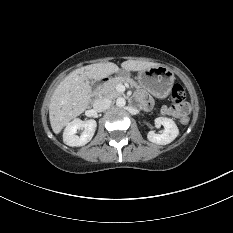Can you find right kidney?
Masks as SVG:
<instances>
[{
  "instance_id": "right-kidney-1",
  "label": "right kidney",
  "mask_w": 233,
  "mask_h": 233,
  "mask_svg": "<svg viewBox=\"0 0 233 233\" xmlns=\"http://www.w3.org/2000/svg\"><path fill=\"white\" fill-rule=\"evenodd\" d=\"M97 123L95 120L90 119L82 121L74 119L65 128L63 132V141L68 146H83L87 144L93 137ZM83 130L80 136L76 135L77 130Z\"/></svg>"
}]
</instances>
